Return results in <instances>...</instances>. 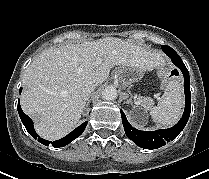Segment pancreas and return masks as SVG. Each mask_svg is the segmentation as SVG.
<instances>
[{"label": "pancreas", "mask_w": 209, "mask_h": 179, "mask_svg": "<svg viewBox=\"0 0 209 179\" xmlns=\"http://www.w3.org/2000/svg\"><path fill=\"white\" fill-rule=\"evenodd\" d=\"M139 100H141L144 104H146L147 100H149V98H139Z\"/></svg>", "instance_id": "1"}]
</instances>
